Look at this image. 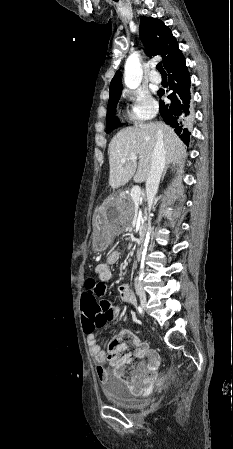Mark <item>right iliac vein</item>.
Segmentation results:
<instances>
[{
	"label": "right iliac vein",
	"instance_id": "obj_1",
	"mask_svg": "<svg viewBox=\"0 0 233 449\" xmlns=\"http://www.w3.org/2000/svg\"><path fill=\"white\" fill-rule=\"evenodd\" d=\"M140 301H141V306L143 307V309H146L147 308V299H146V297L142 296L140 298Z\"/></svg>",
	"mask_w": 233,
	"mask_h": 449
}]
</instances>
